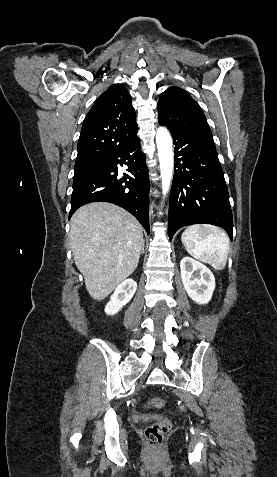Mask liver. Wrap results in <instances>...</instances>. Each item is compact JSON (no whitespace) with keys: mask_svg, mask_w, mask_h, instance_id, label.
I'll return each mask as SVG.
<instances>
[{"mask_svg":"<svg viewBox=\"0 0 277 477\" xmlns=\"http://www.w3.org/2000/svg\"><path fill=\"white\" fill-rule=\"evenodd\" d=\"M70 225L75 264L90 296L103 300L136 269L144 242L142 226L129 212L106 202L82 206Z\"/></svg>","mask_w":277,"mask_h":477,"instance_id":"obj_1","label":"liver"}]
</instances>
